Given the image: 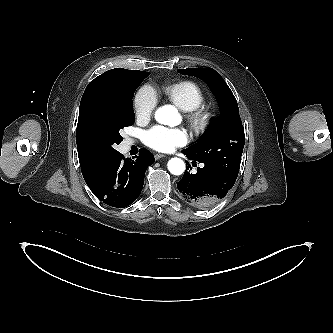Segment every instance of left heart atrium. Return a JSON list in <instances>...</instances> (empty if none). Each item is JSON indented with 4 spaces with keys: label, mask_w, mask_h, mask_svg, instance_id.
<instances>
[{
    "label": "left heart atrium",
    "mask_w": 333,
    "mask_h": 333,
    "mask_svg": "<svg viewBox=\"0 0 333 333\" xmlns=\"http://www.w3.org/2000/svg\"><path fill=\"white\" fill-rule=\"evenodd\" d=\"M145 143L161 152H170L187 143L186 133L178 128L155 126L144 134Z\"/></svg>",
    "instance_id": "1"
}]
</instances>
